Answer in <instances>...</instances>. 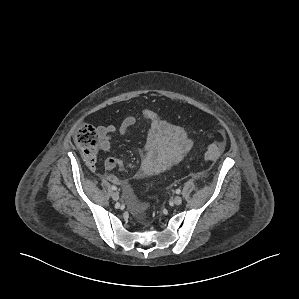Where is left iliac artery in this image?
Returning a JSON list of instances; mask_svg holds the SVG:
<instances>
[{
  "label": "left iliac artery",
  "instance_id": "left-iliac-artery-1",
  "mask_svg": "<svg viewBox=\"0 0 299 299\" xmlns=\"http://www.w3.org/2000/svg\"><path fill=\"white\" fill-rule=\"evenodd\" d=\"M181 190L180 189H176V194H180Z\"/></svg>",
  "mask_w": 299,
  "mask_h": 299
}]
</instances>
